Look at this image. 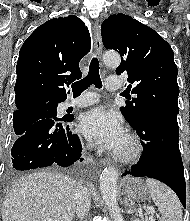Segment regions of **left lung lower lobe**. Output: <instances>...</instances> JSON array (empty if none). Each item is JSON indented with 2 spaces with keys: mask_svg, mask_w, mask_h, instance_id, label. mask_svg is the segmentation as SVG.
Returning <instances> with one entry per match:
<instances>
[{
  "mask_svg": "<svg viewBox=\"0 0 190 221\" xmlns=\"http://www.w3.org/2000/svg\"><path fill=\"white\" fill-rule=\"evenodd\" d=\"M139 135L143 155L124 175L147 176L171 187L186 207L184 168L179 151L177 114L166 110L144 113L132 125Z\"/></svg>",
  "mask_w": 190,
  "mask_h": 221,
  "instance_id": "left-lung-lower-lobe-1",
  "label": "left lung lower lobe"
}]
</instances>
